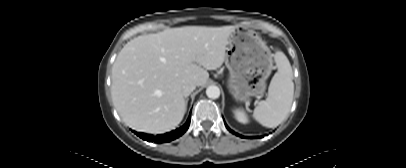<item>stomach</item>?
<instances>
[{"mask_svg": "<svg viewBox=\"0 0 406 168\" xmlns=\"http://www.w3.org/2000/svg\"><path fill=\"white\" fill-rule=\"evenodd\" d=\"M226 66L229 70L227 87L240 102L263 94L266 80L274 68L266 43L254 30L242 26H235L229 36Z\"/></svg>", "mask_w": 406, "mask_h": 168, "instance_id": "obj_1", "label": "stomach"}]
</instances>
